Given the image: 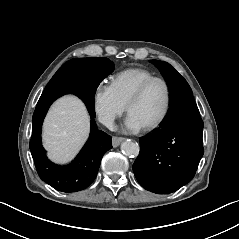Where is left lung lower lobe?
Returning <instances> with one entry per match:
<instances>
[{
    "label": "left lung lower lobe",
    "mask_w": 239,
    "mask_h": 239,
    "mask_svg": "<svg viewBox=\"0 0 239 239\" xmlns=\"http://www.w3.org/2000/svg\"><path fill=\"white\" fill-rule=\"evenodd\" d=\"M203 126L193 96L170 104L160 127L140 138V154L133 164L139 184L168 194L190 182L204 153Z\"/></svg>",
    "instance_id": "0a47b994"
}]
</instances>
